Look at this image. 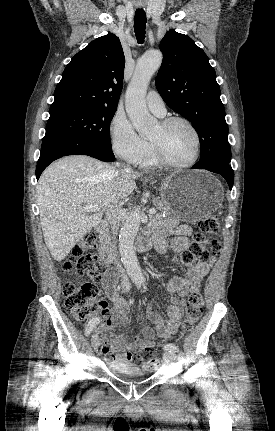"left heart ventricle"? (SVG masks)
Returning <instances> with one entry per match:
<instances>
[{"mask_svg": "<svg viewBox=\"0 0 275 431\" xmlns=\"http://www.w3.org/2000/svg\"><path fill=\"white\" fill-rule=\"evenodd\" d=\"M150 141L155 142L165 158L172 163H186L195 152L194 136L182 123H175L167 129L158 125Z\"/></svg>", "mask_w": 275, "mask_h": 431, "instance_id": "left-heart-ventricle-1", "label": "left heart ventricle"}]
</instances>
